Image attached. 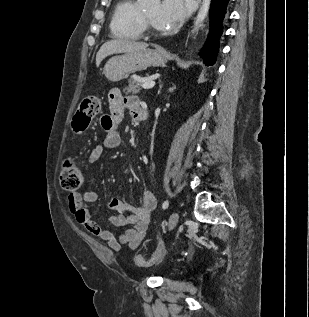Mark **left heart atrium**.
<instances>
[{
    "instance_id": "39dd6f15",
    "label": "left heart atrium",
    "mask_w": 309,
    "mask_h": 317,
    "mask_svg": "<svg viewBox=\"0 0 309 317\" xmlns=\"http://www.w3.org/2000/svg\"><path fill=\"white\" fill-rule=\"evenodd\" d=\"M185 0H163L158 11L157 23L162 30H174L185 19Z\"/></svg>"
}]
</instances>
